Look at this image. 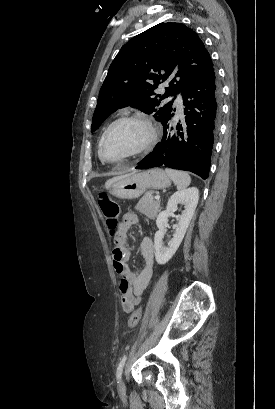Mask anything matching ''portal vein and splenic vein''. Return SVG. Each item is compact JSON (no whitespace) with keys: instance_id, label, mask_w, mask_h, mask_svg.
Listing matches in <instances>:
<instances>
[{"instance_id":"18ae733b","label":"portal vein and splenic vein","mask_w":275,"mask_h":409,"mask_svg":"<svg viewBox=\"0 0 275 409\" xmlns=\"http://www.w3.org/2000/svg\"><path fill=\"white\" fill-rule=\"evenodd\" d=\"M155 198H157V200H158V198H160L159 194H158V196H155Z\"/></svg>"}]
</instances>
